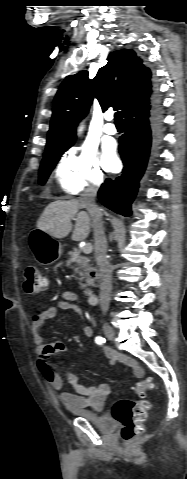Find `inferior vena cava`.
<instances>
[{
    "label": "inferior vena cava",
    "mask_w": 187,
    "mask_h": 479,
    "mask_svg": "<svg viewBox=\"0 0 187 479\" xmlns=\"http://www.w3.org/2000/svg\"><path fill=\"white\" fill-rule=\"evenodd\" d=\"M100 182L87 187L81 195L80 202L88 211L92 219V227L94 232V249L95 260L99 270L101 279L100 285V307L105 314L109 309L112 291V269L106 257L107 240L103 227L102 209L95 203V198Z\"/></svg>",
    "instance_id": "1"
}]
</instances>
